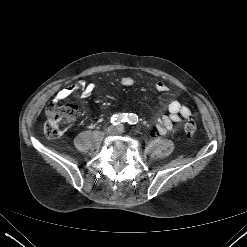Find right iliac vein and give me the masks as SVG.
<instances>
[{
    "mask_svg": "<svg viewBox=\"0 0 247 247\" xmlns=\"http://www.w3.org/2000/svg\"><path fill=\"white\" fill-rule=\"evenodd\" d=\"M117 132V127H115V126H110L109 128H108V133L109 134H115Z\"/></svg>",
    "mask_w": 247,
    "mask_h": 247,
    "instance_id": "1",
    "label": "right iliac vein"
}]
</instances>
